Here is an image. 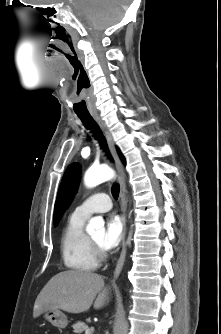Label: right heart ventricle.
I'll return each mask as SVG.
<instances>
[{"mask_svg":"<svg viewBox=\"0 0 221 334\" xmlns=\"http://www.w3.org/2000/svg\"><path fill=\"white\" fill-rule=\"evenodd\" d=\"M85 221V218L72 213L61 237L63 262L67 268L76 272H91L99 265L89 237L84 231Z\"/></svg>","mask_w":221,"mask_h":334,"instance_id":"1","label":"right heart ventricle"}]
</instances>
